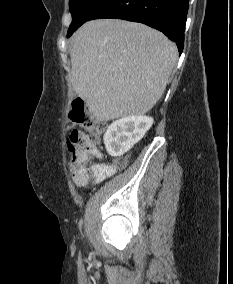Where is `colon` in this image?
Segmentation results:
<instances>
[{
    "instance_id": "5ec220e1",
    "label": "colon",
    "mask_w": 233,
    "mask_h": 284,
    "mask_svg": "<svg viewBox=\"0 0 233 284\" xmlns=\"http://www.w3.org/2000/svg\"><path fill=\"white\" fill-rule=\"evenodd\" d=\"M70 118L83 129H73L68 141L69 151L72 156V178L74 183L80 186L86 177L88 162L101 156L96 143L105 130V124L91 114L82 99H75L72 102Z\"/></svg>"
}]
</instances>
